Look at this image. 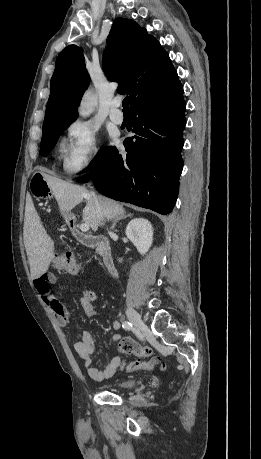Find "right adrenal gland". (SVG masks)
Returning <instances> with one entry per match:
<instances>
[{
    "label": "right adrenal gland",
    "instance_id": "obj_1",
    "mask_svg": "<svg viewBox=\"0 0 261 459\" xmlns=\"http://www.w3.org/2000/svg\"><path fill=\"white\" fill-rule=\"evenodd\" d=\"M132 216H133V214L129 213V214L125 215V216H121V217H119V218L114 219L111 229L114 230L116 224H117L120 220H123V219H126V218H132Z\"/></svg>",
    "mask_w": 261,
    "mask_h": 459
}]
</instances>
